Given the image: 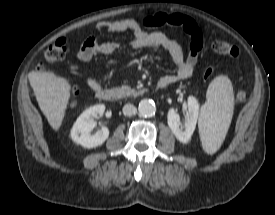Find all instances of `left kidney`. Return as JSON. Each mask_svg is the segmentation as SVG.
Wrapping results in <instances>:
<instances>
[{"instance_id":"1","label":"left kidney","mask_w":275,"mask_h":215,"mask_svg":"<svg viewBox=\"0 0 275 215\" xmlns=\"http://www.w3.org/2000/svg\"><path fill=\"white\" fill-rule=\"evenodd\" d=\"M188 113L185 124H181L180 117L174 108H170L167 115V121L175 137L182 143H187L196 127L199 115V103L193 96L188 98Z\"/></svg>"}]
</instances>
